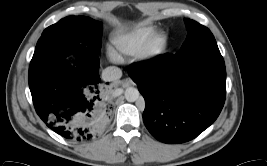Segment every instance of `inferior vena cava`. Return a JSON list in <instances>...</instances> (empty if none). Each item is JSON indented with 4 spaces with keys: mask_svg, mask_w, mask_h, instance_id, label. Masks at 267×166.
Returning a JSON list of instances; mask_svg holds the SVG:
<instances>
[{
    "mask_svg": "<svg viewBox=\"0 0 267 166\" xmlns=\"http://www.w3.org/2000/svg\"><path fill=\"white\" fill-rule=\"evenodd\" d=\"M122 76V71L120 68L115 66L107 67L102 72V79L104 81H115L120 79Z\"/></svg>",
    "mask_w": 267,
    "mask_h": 166,
    "instance_id": "602c4592",
    "label": "inferior vena cava"
}]
</instances>
